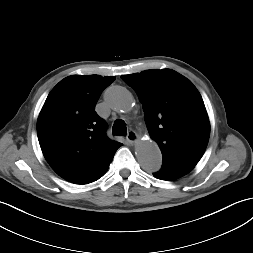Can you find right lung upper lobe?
<instances>
[{"instance_id": "obj_1", "label": "right lung upper lobe", "mask_w": 253, "mask_h": 253, "mask_svg": "<svg viewBox=\"0 0 253 253\" xmlns=\"http://www.w3.org/2000/svg\"><path fill=\"white\" fill-rule=\"evenodd\" d=\"M114 76L72 75L49 93L37 121L44 157L65 180L88 184L109 167L121 143L106 136V123L95 112Z\"/></svg>"}]
</instances>
